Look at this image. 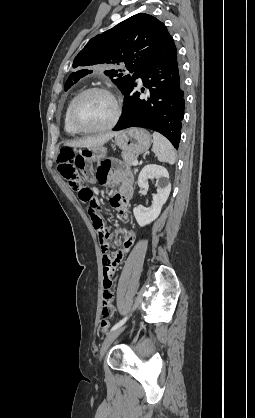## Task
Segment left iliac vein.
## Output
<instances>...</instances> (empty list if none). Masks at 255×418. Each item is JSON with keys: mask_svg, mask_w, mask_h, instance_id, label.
Wrapping results in <instances>:
<instances>
[{"mask_svg": "<svg viewBox=\"0 0 255 418\" xmlns=\"http://www.w3.org/2000/svg\"><path fill=\"white\" fill-rule=\"evenodd\" d=\"M126 326H120L119 328L111 331L104 339L100 349V360L103 358L109 346L113 341L125 330Z\"/></svg>", "mask_w": 255, "mask_h": 418, "instance_id": "4c4485c4", "label": "left iliac vein"}]
</instances>
